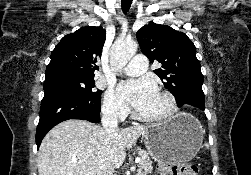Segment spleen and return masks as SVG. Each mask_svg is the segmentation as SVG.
Segmentation results:
<instances>
[{"label":"spleen","instance_id":"1","mask_svg":"<svg viewBox=\"0 0 251 175\" xmlns=\"http://www.w3.org/2000/svg\"><path fill=\"white\" fill-rule=\"evenodd\" d=\"M204 145H205V147H207V149H208V147H209L208 143H204Z\"/></svg>","mask_w":251,"mask_h":175}]
</instances>
